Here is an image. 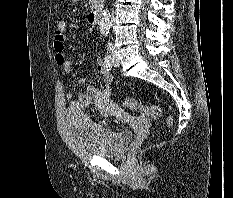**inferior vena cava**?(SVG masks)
Masks as SVG:
<instances>
[{"label":"inferior vena cava","mask_w":233,"mask_h":198,"mask_svg":"<svg viewBox=\"0 0 233 198\" xmlns=\"http://www.w3.org/2000/svg\"><path fill=\"white\" fill-rule=\"evenodd\" d=\"M108 46H109L110 49L113 48V46H112V44L110 42L108 43Z\"/></svg>","instance_id":"obj_1"}]
</instances>
